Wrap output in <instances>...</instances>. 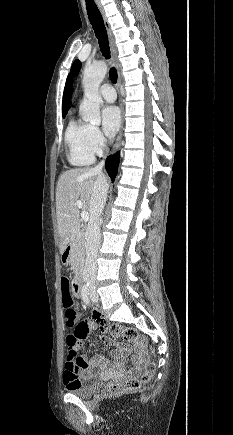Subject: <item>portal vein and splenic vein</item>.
<instances>
[{
	"mask_svg": "<svg viewBox=\"0 0 233 435\" xmlns=\"http://www.w3.org/2000/svg\"><path fill=\"white\" fill-rule=\"evenodd\" d=\"M76 205H77L78 208H82L83 207V203L80 200H78L76 202ZM81 218H82L83 221L87 222L89 220V213L86 212V211H83L81 213Z\"/></svg>",
	"mask_w": 233,
	"mask_h": 435,
	"instance_id": "18ae733b",
	"label": "portal vein and splenic vein"
}]
</instances>
